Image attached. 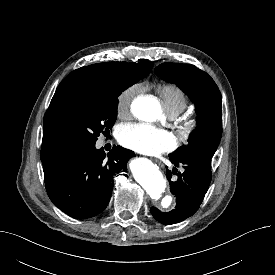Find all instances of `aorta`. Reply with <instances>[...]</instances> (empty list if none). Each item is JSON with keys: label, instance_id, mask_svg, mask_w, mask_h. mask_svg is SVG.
<instances>
[{"label": "aorta", "instance_id": "aorta-1", "mask_svg": "<svg viewBox=\"0 0 275 275\" xmlns=\"http://www.w3.org/2000/svg\"><path fill=\"white\" fill-rule=\"evenodd\" d=\"M132 113L144 121H154L161 114V106L157 99L152 96H139L131 105ZM135 180L144 188L146 193L153 199L159 200L166 189V181L159 167L146 159H137L131 166ZM172 202L170 196L162 199L161 205L168 207Z\"/></svg>", "mask_w": 275, "mask_h": 275}]
</instances>
